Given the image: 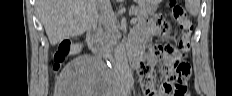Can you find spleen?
I'll return each mask as SVG.
<instances>
[{
    "label": "spleen",
    "instance_id": "3e777b00",
    "mask_svg": "<svg viewBox=\"0 0 232 96\" xmlns=\"http://www.w3.org/2000/svg\"><path fill=\"white\" fill-rule=\"evenodd\" d=\"M185 7L190 15L197 16L200 12V0H186Z\"/></svg>",
    "mask_w": 232,
    "mask_h": 96
}]
</instances>
